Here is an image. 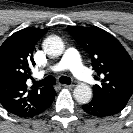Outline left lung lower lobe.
<instances>
[{
  "instance_id": "obj_1",
  "label": "left lung lower lobe",
  "mask_w": 133,
  "mask_h": 133,
  "mask_svg": "<svg viewBox=\"0 0 133 133\" xmlns=\"http://www.w3.org/2000/svg\"><path fill=\"white\" fill-rule=\"evenodd\" d=\"M82 108L87 114L96 117L112 116L123 109L110 103L102 102L96 98H93L90 103L83 105Z\"/></svg>"
}]
</instances>
